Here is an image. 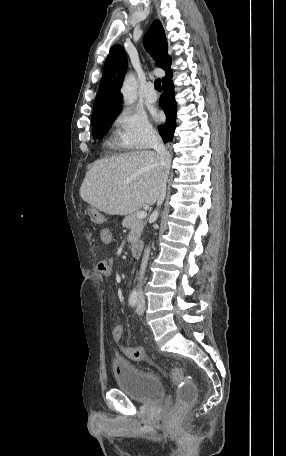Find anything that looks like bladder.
I'll return each mask as SVG.
<instances>
[{
  "mask_svg": "<svg viewBox=\"0 0 286 456\" xmlns=\"http://www.w3.org/2000/svg\"><path fill=\"white\" fill-rule=\"evenodd\" d=\"M114 376L117 387L134 401L148 403L164 397L165 390L159 378L141 372L129 363H115Z\"/></svg>",
  "mask_w": 286,
  "mask_h": 456,
  "instance_id": "31cf9c89",
  "label": "bladder"
}]
</instances>
